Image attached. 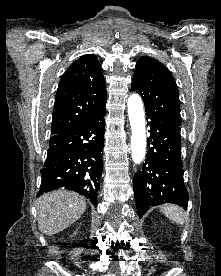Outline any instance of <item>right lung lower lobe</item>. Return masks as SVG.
Instances as JSON below:
<instances>
[{
  "label": "right lung lower lobe",
  "mask_w": 221,
  "mask_h": 276,
  "mask_svg": "<svg viewBox=\"0 0 221 276\" xmlns=\"http://www.w3.org/2000/svg\"><path fill=\"white\" fill-rule=\"evenodd\" d=\"M105 113L106 107L77 128L50 139L37 196L64 187L97 205L103 168Z\"/></svg>",
  "instance_id": "obj_1"
}]
</instances>
